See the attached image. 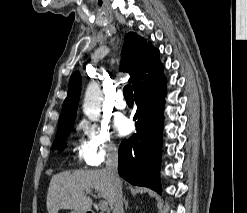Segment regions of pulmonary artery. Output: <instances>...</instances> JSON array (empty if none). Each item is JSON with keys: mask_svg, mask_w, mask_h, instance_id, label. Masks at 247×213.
<instances>
[{"mask_svg": "<svg viewBox=\"0 0 247 213\" xmlns=\"http://www.w3.org/2000/svg\"><path fill=\"white\" fill-rule=\"evenodd\" d=\"M126 101L123 98V93L121 91H118L115 96V102L114 107L118 110H124L126 109Z\"/></svg>", "mask_w": 247, "mask_h": 213, "instance_id": "pulmonary-artery-1", "label": "pulmonary artery"}]
</instances>
